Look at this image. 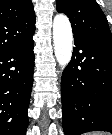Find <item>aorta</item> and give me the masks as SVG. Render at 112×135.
Listing matches in <instances>:
<instances>
[{
	"label": "aorta",
	"instance_id": "762f6f07",
	"mask_svg": "<svg viewBox=\"0 0 112 135\" xmlns=\"http://www.w3.org/2000/svg\"><path fill=\"white\" fill-rule=\"evenodd\" d=\"M53 42L55 57L61 68L64 69L71 60L73 34L70 21L63 14L54 17Z\"/></svg>",
	"mask_w": 112,
	"mask_h": 135
}]
</instances>
